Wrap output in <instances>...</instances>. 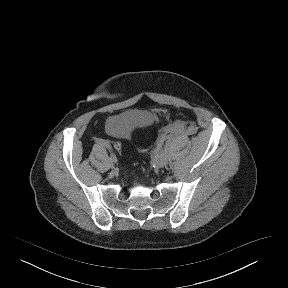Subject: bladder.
<instances>
[{"mask_svg": "<svg viewBox=\"0 0 288 288\" xmlns=\"http://www.w3.org/2000/svg\"><path fill=\"white\" fill-rule=\"evenodd\" d=\"M155 115L148 110H132L112 117L106 123V130L116 135H127L134 129L146 128L154 123Z\"/></svg>", "mask_w": 288, "mask_h": 288, "instance_id": "bladder-1", "label": "bladder"}]
</instances>
